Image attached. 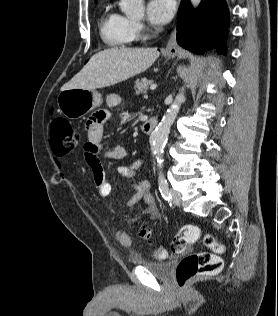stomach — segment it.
Listing matches in <instances>:
<instances>
[{
	"mask_svg": "<svg viewBox=\"0 0 278 316\" xmlns=\"http://www.w3.org/2000/svg\"><path fill=\"white\" fill-rule=\"evenodd\" d=\"M57 104L60 112L67 118L78 119L99 107L102 104V96L95 90L67 89L60 92Z\"/></svg>",
	"mask_w": 278,
	"mask_h": 316,
	"instance_id": "0dacf381",
	"label": "stomach"
}]
</instances>
